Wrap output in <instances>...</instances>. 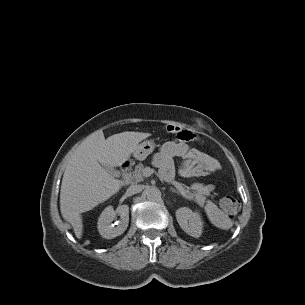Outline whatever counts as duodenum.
Segmentation results:
<instances>
[{"label": "duodenum", "mask_w": 305, "mask_h": 305, "mask_svg": "<svg viewBox=\"0 0 305 305\" xmlns=\"http://www.w3.org/2000/svg\"><path fill=\"white\" fill-rule=\"evenodd\" d=\"M128 168H129L128 164H123L120 166V170L124 173L128 170Z\"/></svg>", "instance_id": "1"}]
</instances>
